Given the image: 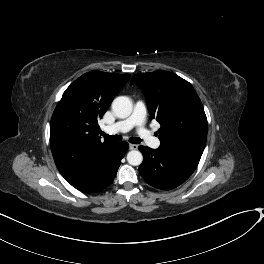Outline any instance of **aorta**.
Segmentation results:
<instances>
[{
    "label": "aorta",
    "instance_id": "aorta-1",
    "mask_svg": "<svg viewBox=\"0 0 264 264\" xmlns=\"http://www.w3.org/2000/svg\"><path fill=\"white\" fill-rule=\"evenodd\" d=\"M112 110L118 118H126L132 112V101L126 96H119L113 100ZM127 161L133 166L140 165L143 161L142 153L138 150H131L127 154Z\"/></svg>",
    "mask_w": 264,
    "mask_h": 264
}]
</instances>
